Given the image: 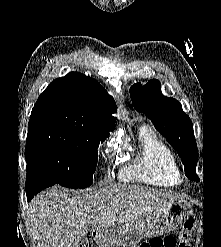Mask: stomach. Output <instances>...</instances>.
<instances>
[{"label": "stomach", "mask_w": 221, "mask_h": 247, "mask_svg": "<svg viewBox=\"0 0 221 247\" xmlns=\"http://www.w3.org/2000/svg\"><path fill=\"white\" fill-rule=\"evenodd\" d=\"M191 213V204L187 200L177 197L169 200L163 208L153 212L148 217L146 224L129 223L114 233L99 232L98 239L102 247L112 245L138 247L139 242L145 237L159 236L174 230Z\"/></svg>", "instance_id": "stomach-1"}]
</instances>
